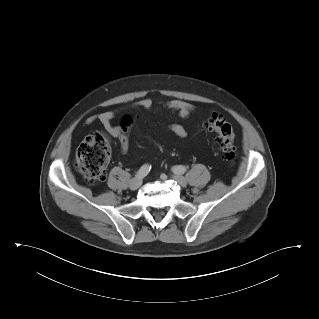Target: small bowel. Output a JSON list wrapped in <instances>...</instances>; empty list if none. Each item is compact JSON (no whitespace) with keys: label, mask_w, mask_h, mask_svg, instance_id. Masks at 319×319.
<instances>
[{"label":"small bowel","mask_w":319,"mask_h":319,"mask_svg":"<svg viewBox=\"0 0 319 319\" xmlns=\"http://www.w3.org/2000/svg\"><path fill=\"white\" fill-rule=\"evenodd\" d=\"M135 107L142 110L150 111L154 108V103L150 98H142L135 103ZM163 107L178 114L183 118H188L194 111L193 105L177 99L169 100L163 103ZM114 116V111H105L98 114L97 116L90 117L88 119V122L91 123L95 120H98L102 124L107 134L112 137L119 138L121 150L126 151L128 148V141H123L121 130L113 124ZM168 127L170 131L178 138L185 139L188 136L186 127L181 123H170Z\"/></svg>","instance_id":"c3829d8e"}]
</instances>
